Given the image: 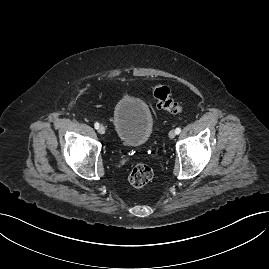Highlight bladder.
<instances>
[{
    "label": "bladder",
    "mask_w": 269,
    "mask_h": 269,
    "mask_svg": "<svg viewBox=\"0 0 269 269\" xmlns=\"http://www.w3.org/2000/svg\"><path fill=\"white\" fill-rule=\"evenodd\" d=\"M153 126L152 113L142 99L125 95L117 101L113 110V128L122 144H145L152 135Z\"/></svg>",
    "instance_id": "31cf9c89"
}]
</instances>
